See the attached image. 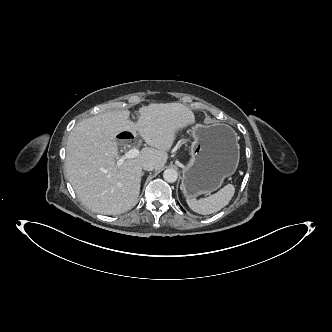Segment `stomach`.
<instances>
[{"label":"stomach","instance_id":"0dacf381","mask_svg":"<svg viewBox=\"0 0 332 332\" xmlns=\"http://www.w3.org/2000/svg\"><path fill=\"white\" fill-rule=\"evenodd\" d=\"M191 132L193 142L181 190L187 199H196L218 190L236 171L240 146L235 131L226 124L197 125Z\"/></svg>","mask_w":332,"mask_h":332}]
</instances>
